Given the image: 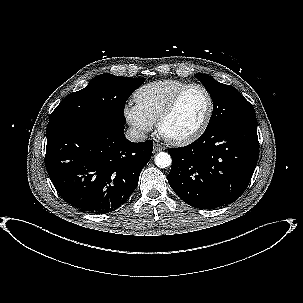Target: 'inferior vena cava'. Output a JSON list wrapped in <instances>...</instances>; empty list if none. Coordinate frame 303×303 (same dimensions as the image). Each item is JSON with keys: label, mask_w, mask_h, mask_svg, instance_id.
I'll return each instance as SVG.
<instances>
[{"label": "inferior vena cava", "mask_w": 303, "mask_h": 303, "mask_svg": "<svg viewBox=\"0 0 303 303\" xmlns=\"http://www.w3.org/2000/svg\"><path fill=\"white\" fill-rule=\"evenodd\" d=\"M126 138L131 142H143L146 140L145 133L136 128H130L125 133Z\"/></svg>", "instance_id": "602c4592"}]
</instances>
